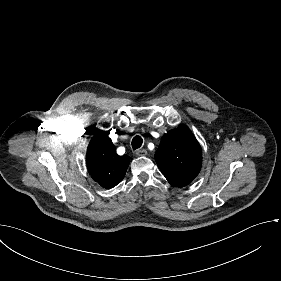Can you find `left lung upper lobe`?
I'll return each mask as SVG.
<instances>
[{"instance_id": "1", "label": "left lung upper lobe", "mask_w": 281, "mask_h": 281, "mask_svg": "<svg viewBox=\"0 0 281 281\" xmlns=\"http://www.w3.org/2000/svg\"><path fill=\"white\" fill-rule=\"evenodd\" d=\"M155 160L171 185L184 187L200 172L202 151L189 128L180 125L163 136Z\"/></svg>"}]
</instances>
